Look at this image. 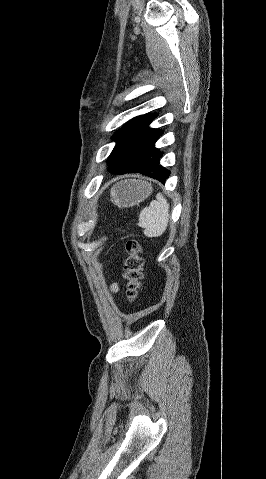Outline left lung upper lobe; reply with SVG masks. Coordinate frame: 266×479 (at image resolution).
Listing matches in <instances>:
<instances>
[{
    "instance_id": "1",
    "label": "left lung upper lobe",
    "mask_w": 266,
    "mask_h": 479,
    "mask_svg": "<svg viewBox=\"0 0 266 479\" xmlns=\"http://www.w3.org/2000/svg\"><path fill=\"white\" fill-rule=\"evenodd\" d=\"M156 115L149 113L135 117L113 135L116 145L107 161L109 172L139 166L157 156L159 149L154 146L163 131L148 127Z\"/></svg>"
}]
</instances>
